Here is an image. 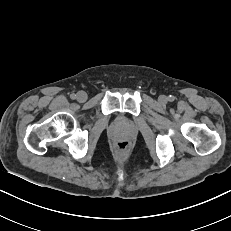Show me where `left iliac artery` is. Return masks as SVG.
I'll return each instance as SVG.
<instances>
[{"mask_svg": "<svg viewBox=\"0 0 231 231\" xmlns=\"http://www.w3.org/2000/svg\"><path fill=\"white\" fill-rule=\"evenodd\" d=\"M169 100H170V101H173V100H174V97L170 95V96H169Z\"/></svg>", "mask_w": 231, "mask_h": 231, "instance_id": "44dca946", "label": "left iliac artery"}]
</instances>
